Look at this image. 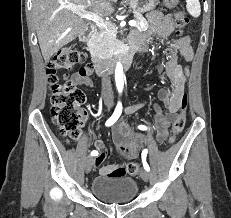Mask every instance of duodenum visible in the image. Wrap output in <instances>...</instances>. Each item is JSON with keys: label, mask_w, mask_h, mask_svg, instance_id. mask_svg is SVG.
Segmentation results:
<instances>
[{"label": "duodenum", "mask_w": 231, "mask_h": 218, "mask_svg": "<svg viewBox=\"0 0 231 218\" xmlns=\"http://www.w3.org/2000/svg\"><path fill=\"white\" fill-rule=\"evenodd\" d=\"M95 32L94 24H88L80 35L81 40H88ZM133 59V49L118 50L111 58L100 55L91 63L92 69L101 76L107 75L117 62L129 66Z\"/></svg>", "instance_id": "1"}]
</instances>
